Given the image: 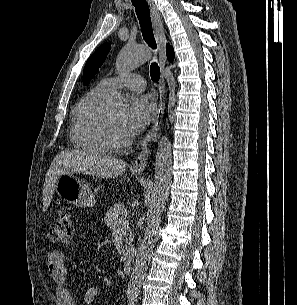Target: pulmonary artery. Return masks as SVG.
I'll list each match as a JSON object with an SVG mask.
<instances>
[{
    "instance_id": "pulmonary-artery-1",
    "label": "pulmonary artery",
    "mask_w": 297,
    "mask_h": 305,
    "mask_svg": "<svg viewBox=\"0 0 297 305\" xmlns=\"http://www.w3.org/2000/svg\"><path fill=\"white\" fill-rule=\"evenodd\" d=\"M104 91L111 92L115 88H126L133 91H142L146 83L143 77L136 73H126L121 76L105 78L98 84Z\"/></svg>"
}]
</instances>
